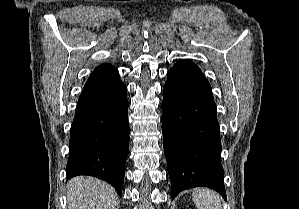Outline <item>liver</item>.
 Returning <instances> with one entry per match:
<instances>
[{"label":"liver","mask_w":299,"mask_h":209,"mask_svg":"<svg viewBox=\"0 0 299 209\" xmlns=\"http://www.w3.org/2000/svg\"><path fill=\"white\" fill-rule=\"evenodd\" d=\"M68 209H115L118 196L112 186L97 178L79 176L67 185Z\"/></svg>","instance_id":"1"}]
</instances>
